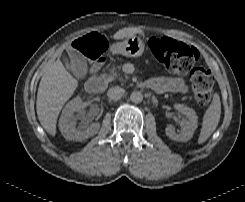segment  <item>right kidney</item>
Returning a JSON list of instances; mask_svg holds the SVG:
<instances>
[{"label": "right kidney", "mask_w": 245, "mask_h": 202, "mask_svg": "<svg viewBox=\"0 0 245 202\" xmlns=\"http://www.w3.org/2000/svg\"><path fill=\"white\" fill-rule=\"evenodd\" d=\"M82 107V100L76 97L69 101L64 107L59 119V129L67 140L84 141L94 136L99 128V123H93L88 126V121H83L79 127H76L77 122L74 113Z\"/></svg>", "instance_id": "right-kidney-1"}]
</instances>
